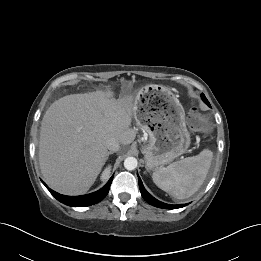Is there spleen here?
<instances>
[{"label":"spleen","mask_w":261,"mask_h":261,"mask_svg":"<svg viewBox=\"0 0 261 261\" xmlns=\"http://www.w3.org/2000/svg\"><path fill=\"white\" fill-rule=\"evenodd\" d=\"M213 153L204 149L200 154L159 168L152 174L153 182L177 199L191 197L203 184L211 166Z\"/></svg>","instance_id":"3e777b00"}]
</instances>
